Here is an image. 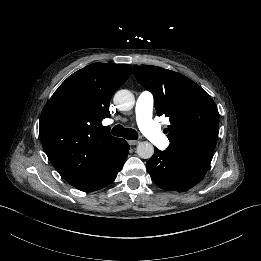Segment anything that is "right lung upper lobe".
Instances as JSON below:
<instances>
[{"instance_id":"right-lung-upper-lobe-1","label":"right lung upper lobe","mask_w":261,"mask_h":261,"mask_svg":"<svg viewBox=\"0 0 261 261\" xmlns=\"http://www.w3.org/2000/svg\"><path fill=\"white\" fill-rule=\"evenodd\" d=\"M131 71L127 64H90L70 75L46 103L40 117V140L65 180L97 166L121 140L111 136L101 121L111 117V96Z\"/></svg>"}]
</instances>
